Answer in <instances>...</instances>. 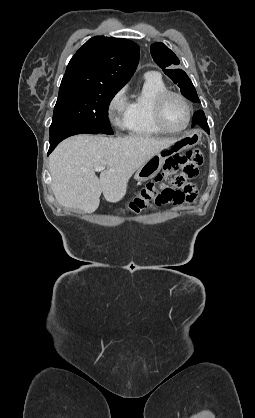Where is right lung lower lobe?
Wrapping results in <instances>:
<instances>
[{
  "label": "right lung lower lobe",
  "instance_id": "98d812e1",
  "mask_svg": "<svg viewBox=\"0 0 255 418\" xmlns=\"http://www.w3.org/2000/svg\"><path fill=\"white\" fill-rule=\"evenodd\" d=\"M81 133L98 134L99 132L89 130V129H83V128H70V129L55 131L52 134H50V148L48 151V155L54 150L57 144L61 142L63 139L69 136L81 134Z\"/></svg>",
  "mask_w": 255,
  "mask_h": 418
}]
</instances>
